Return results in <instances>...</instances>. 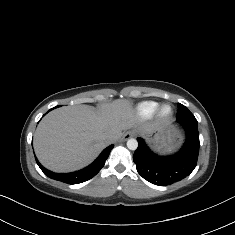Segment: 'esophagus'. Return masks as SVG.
Listing matches in <instances>:
<instances>
[{"label": "esophagus", "mask_w": 235, "mask_h": 235, "mask_svg": "<svg viewBox=\"0 0 235 235\" xmlns=\"http://www.w3.org/2000/svg\"><path fill=\"white\" fill-rule=\"evenodd\" d=\"M136 134L133 131H127L121 138L122 141H126L132 137H134Z\"/></svg>", "instance_id": "esophagus-1"}]
</instances>
